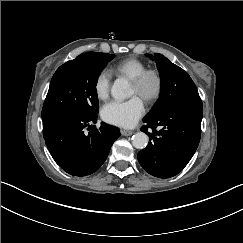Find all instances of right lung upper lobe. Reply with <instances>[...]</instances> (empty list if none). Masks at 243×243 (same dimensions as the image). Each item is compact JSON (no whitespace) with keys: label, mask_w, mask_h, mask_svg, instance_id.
<instances>
[{"label":"right lung upper lobe","mask_w":243,"mask_h":243,"mask_svg":"<svg viewBox=\"0 0 243 243\" xmlns=\"http://www.w3.org/2000/svg\"><path fill=\"white\" fill-rule=\"evenodd\" d=\"M90 53H94V52H87V53H83V54H81V55H79V56H82V55H87V54H90Z\"/></svg>","instance_id":"obj_1"}]
</instances>
